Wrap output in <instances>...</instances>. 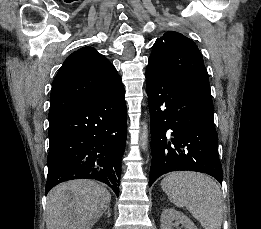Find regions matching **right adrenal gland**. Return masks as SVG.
<instances>
[{"label": "right adrenal gland", "mask_w": 261, "mask_h": 229, "mask_svg": "<svg viewBox=\"0 0 261 229\" xmlns=\"http://www.w3.org/2000/svg\"><path fill=\"white\" fill-rule=\"evenodd\" d=\"M104 215H108V217H111V209L108 207L107 213H104Z\"/></svg>", "instance_id": "right-adrenal-gland-1"}]
</instances>
